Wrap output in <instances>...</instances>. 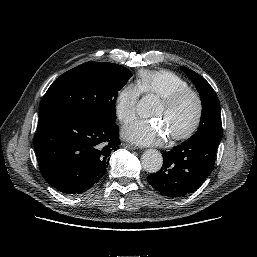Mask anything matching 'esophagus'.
I'll use <instances>...</instances> for the list:
<instances>
[{"instance_id": "obj_1", "label": "esophagus", "mask_w": 257, "mask_h": 257, "mask_svg": "<svg viewBox=\"0 0 257 257\" xmlns=\"http://www.w3.org/2000/svg\"><path fill=\"white\" fill-rule=\"evenodd\" d=\"M124 147L127 148V149H130V150H136L137 149V146L133 145V144H124Z\"/></svg>"}]
</instances>
